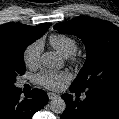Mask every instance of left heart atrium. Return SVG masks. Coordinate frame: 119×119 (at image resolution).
<instances>
[{
  "label": "left heart atrium",
  "instance_id": "1",
  "mask_svg": "<svg viewBox=\"0 0 119 119\" xmlns=\"http://www.w3.org/2000/svg\"><path fill=\"white\" fill-rule=\"evenodd\" d=\"M35 80L47 89L58 90L70 80V74L65 71L42 70L35 76Z\"/></svg>",
  "mask_w": 119,
  "mask_h": 119
}]
</instances>
